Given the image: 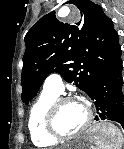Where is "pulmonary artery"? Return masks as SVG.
<instances>
[{
    "label": "pulmonary artery",
    "mask_w": 124,
    "mask_h": 149,
    "mask_svg": "<svg viewBox=\"0 0 124 149\" xmlns=\"http://www.w3.org/2000/svg\"><path fill=\"white\" fill-rule=\"evenodd\" d=\"M64 90L63 80L58 73H52L44 82V91L60 95Z\"/></svg>",
    "instance_id": "e3ab8cb5"
}]
</instances>
